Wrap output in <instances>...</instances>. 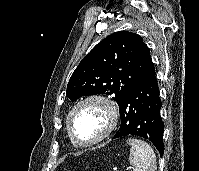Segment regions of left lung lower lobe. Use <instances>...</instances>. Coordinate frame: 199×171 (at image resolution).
<instances>
[{
  "label": "left lung lower lobe",
  "mask_w": 199,
  "mask_h": 171,
  "mask_svg": "<svg viewBox=\"0 0 199 171\" xmlns=\"http://www.w3.org/2000/svg\"><path fill=\"white\" fill-rule=\"evenodd\" d=\"M154 65L136 81L119 104L121 125L114 138L137 135L150 140L162 156L164 123Z\"/></svg>",
  "instance_id": "left-lung-lower-lobe-1"
}]
</instances>
